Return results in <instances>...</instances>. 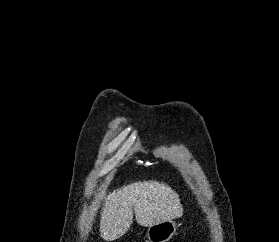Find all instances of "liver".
<instances>
[{
  "mask_svg": "<svg viewBox=\"0 0 279 242\" xmlns=\"http://www.w3.org/2000/svg\"><path fill=\"white\" fill-rule=\"evenodd\" d=\"M133 211L137 223L145 227L183 215L179 195L170 186L157 181L134 182L105 197L100 236L106 241L122 237L133 222Z\"/></svg>",
  "mask_w": 279,
  "mask_h": 242,
  "instance_id": "obj_1",
  "label": "liver"
}]
</instances>
